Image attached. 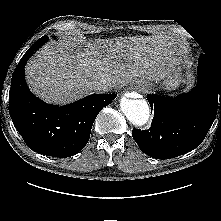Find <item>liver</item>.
Returning a JSON list of instances; mask_svg holds the SVG:
<instances>
[{"instance_id": "obj_1", "label": "liver", "mask_w": 221, "mask_h": 221, "mask_svg": "<svg viewBox=\"0 0 221 221\" xmlns=\"http://www.w3.org/2000/svg\"><path fill=\"white\" fill-rule=\"evenodd\" d=\"M176 53L174 43L160 36L95 39L83 46L50 41L28 61L26 81L42 100L66 104L91 93V83L101 78L113 87L137 77L159 81L175 70Z\"/></svg>"}]
</instances>
